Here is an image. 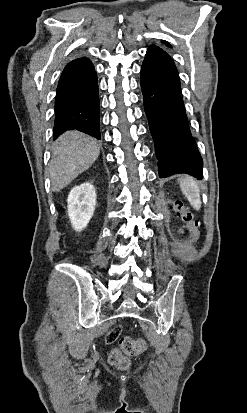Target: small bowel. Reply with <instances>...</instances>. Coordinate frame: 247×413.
<instances>
[{"label": "small bowel", "instance_id": "c3829d8e", "mask_svg": "<svg viewBox=\"0 0 247 413\" xmlns=\"http://www.w3.org/2000/svg\"><path fill=\"white\" fill-rule=\"evenodd\" d=\"M117 329L118 330H123L124 329V324L123 323H118L117 324ZM117 329H109L107 331V334L104 336V341L106 343H111L113 341V338H117L119 336V331Z\"/></svg>", "mask_w": 247, "mask_h": 413}]
</instances>
